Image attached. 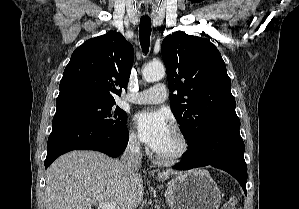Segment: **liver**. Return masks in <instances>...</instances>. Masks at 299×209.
I'll return each mask as SVG.
<instances>
[{
    "label": "liver",
    "instance_id": "1",
    "mask_svg": "<svg viewBox=\"0 0 299 209\" xmlns=\"http://www.w3.org/2000/svg\"><path fill=\"white\" fill-rule=\"evenodd\" d=\"M179 172L158 173L167 180ZM142 176L129 173L121 161L95 151H72L59 157L46 173V209H92V202H116L135 209L143 199Z\"/></svg>",
    "mask_w": 299,
    "mask_h": 209
}]
</instances>
